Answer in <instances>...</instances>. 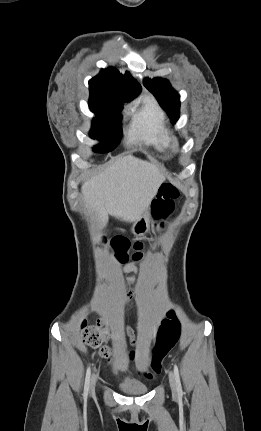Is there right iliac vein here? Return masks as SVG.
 <instances>
[{"mask_svg":"<svg viewBox=\"0 0 261 431\" xmlns=\"http://www.w3.org/2000/svg\"><path fill=\"white\" fill-rule=\"evenodd\" d=\"M96 381H97V375L94 373L91 378V384H90L91 391L94 390Z\"/></svg>","mask_w":261,"mask_h":431,"instance_id":"right-iliac-vein-1","label":"right iliac vein"}]
</instances>
